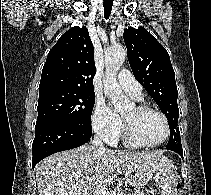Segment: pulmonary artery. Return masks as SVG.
Segmentation results:
<instances>
[{"label":"pulmonary artery","instance_id":"e3ab8cb5","mask_svg":"<svg viewBox=\"0 0 211 195\" xmlns=\"http://www.w3.org/2000/svg\"><path fill=\"white\" fill-rule=\"evenodd\" d=\"M121 88L132 98L141 100L143 97L142 86L137 82L132 73L126 69L121 70L117 77Z\"/></svg>","mask_w":211,"mask_h":195}]
</instances>
